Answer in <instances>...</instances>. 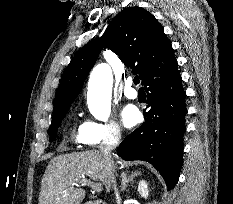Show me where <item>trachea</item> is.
I'll return each instance as SVG.
<instances>
[{"mask_svg":"<svg viewBox=\"0 0 233 204\" xmlns=\"http://www.w3.org/2000/svg\"><path fill=\"white\" fill-rule=\"evenodd\" d=\"M133 82H134L135 84H139V83H140L139 77H138V76H135Z\"/></svg>","mask_w":233,"mask_h":204,"instance_id":"1","label":"trachea"}]
</instances>
